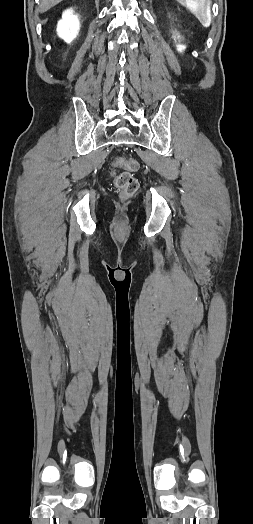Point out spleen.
Returning <instances> with one entry per match:
<instances>
[{"mask_svg":"<svg viewBox=\"0 0 253 524\" xmlns=\"http://www.w3.org/2000/svg\"><path fill=\"white\" fill-rule=\"evenodd\" d=\"M181 5L185 6L195 17L200 21L204 27H209L211 24V15L207 9V0H177Z\"/></svg>","mask_w":253,"mask_h":524,"instance_id":"obj_1","label":"spleen"}]
</instances>
